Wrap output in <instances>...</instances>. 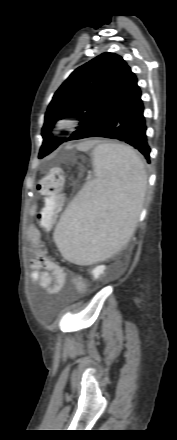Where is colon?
<instances>
[{"mask_svg":"<svg viewBox=\"0 0 177 440\" xmlns=\"http://www.w3.org/2000/svg\"><path fill=\"white\" fill-rule=\"evenodd\" d=\"M64 172L60 167L50 169L47 176L39 184V192L45 202L38 213V223L41 227L51 224L53 217L60 210L63 201Z\"/></svg>","mask_w":177,"mask_h":440,"instance_id":"colon-1","label":"colon"}]
</instances>
